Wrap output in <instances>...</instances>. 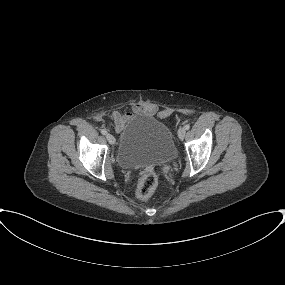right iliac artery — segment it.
Instances as JSON below:
<instances>
[{"instance_id":"1","label":"right iliac artery","mask_w":285,"mask_h":285,"mask_svg":"<svg viewBox=\"0 0 285 285\" xmlns=\"http://www.w3.org/2000/svg\"><path fill=\"white\" fill-rule=\"evenodd\" d=\"M101 133H102L103 135H107V131H106L105 129H102V130H101Z\"/></svg>"}]
</instances>
